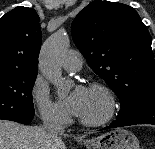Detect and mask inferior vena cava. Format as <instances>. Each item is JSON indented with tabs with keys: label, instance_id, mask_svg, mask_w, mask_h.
<instances>
[{
	"label": "inferior vena cava",
	"instance_id": "602c4592",
	"mask_svg": "<svg viewBox=\"0 0 155 149\" xmlns=\"http://www.w3.org/2000/svg\"><path fill=\"white\" fill-rule=\"evenodd\" d=\"M43 129L52 141L60 140L59 136L64 133V124L54 112H47L42 115Z\"/></svg>",
	"mask_w": 155,
	"mask_h": 149
}]
</instances>
